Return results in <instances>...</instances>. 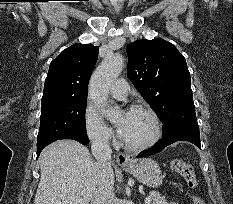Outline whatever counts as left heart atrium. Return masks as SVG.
<instances>
[{
  "label": "left heart atrium",
  "mask_w": 233,
  "mask_h": 204,
  "mask_svg": "<svg viewBox=\"0 0 233 204\" xmlns=\"http://www.w3.org/2000/svg\"><path fill=\"white\" fill-rule=\"evenodd\" d=\"M119 133H120V135L122 136V134H123V130H122V128H121V127H119Z\"/></svg>",
  "instance_id": "obj_1"
}]
</instances>
